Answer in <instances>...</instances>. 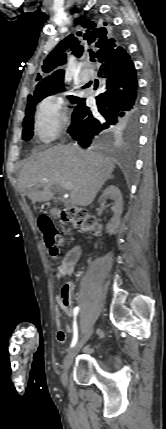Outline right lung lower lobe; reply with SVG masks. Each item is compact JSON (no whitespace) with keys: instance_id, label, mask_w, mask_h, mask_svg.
Instances as JSON below:
<instances>
[{"instance_id":"1","label":"right lung lower lobe","mask_w":166,"mask_h":429,"mask_svg":"<svg viewBox=\"0 0 166 429\" xmlns=\"http://www.w3.org/2000/svg\"><path fill=\"white\" fill-rule=\"evenodd\" d=\"M124 49V48H123ZM106 91L96 97L97 108L91 110L85 99L78 98L68 133L84 148L108 130L133 134L138 127V81L134 64L124 52L101 62Z\"/></svg>"}]
</instances>
